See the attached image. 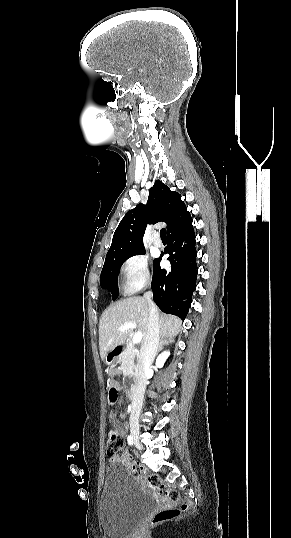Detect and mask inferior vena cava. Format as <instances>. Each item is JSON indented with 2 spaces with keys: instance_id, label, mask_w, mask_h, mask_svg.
Segmentation results:
<instances>
[{
  "instance_id": "1",
  "label": "inferior vena cava",
  "mask_w": 291,
  "mask_h": 538,
  "mask_svg": "<svg viewBox=\"0 0 291 538\" xmlns=\"http://www.w3.org/2000/svg\"><path fill=\"white\" fill-rule=\"evenodd\" d=\"M144 298L147 300L149 305L148 329L145 340L140 350L139 376L137 379L136 389L130 407L131 422L138 421V416L143 402L144 389L147 382V375L155 359L160 340V324L158 318V311L152 301V292L147 291L144 294Z\"/></svg>"
}]
</instances>
